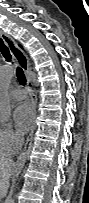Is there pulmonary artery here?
Returning a JSON list of instances; mask_svg holds the SVG:
<instances>
[{
	"mask_svg": "<svg viewBox=\"0 0 89 203\" xmlns=\"http://www.w3.org/2000/svg\"><path fill=\"white\" fill-rule=\"evenodd\" d=\"M10 96L16 100H22L26 97V92L22 89H13L10 91Z\"/></svg>",
	"mask_w": 89,
	"mask_h": 203,
	"instance_id": "obj_1",
	"label": "pulmonary artery"
}]
</instances>
